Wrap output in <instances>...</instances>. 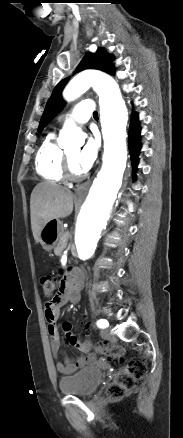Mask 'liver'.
Instances as JSON below:
<instances>
[{"label": "liver", "mask_w": 183, "mask_h": 438, "mask_svg": "<svg viewBox=\"0 0 183 438\" xmlns=\"http://www.w3.org/2000/svg\"><path fill=\"white\" fill-rule=\"evenodd\" d=\"M73 211L72 192L58 184L39 183L30 199V216L33 237L39 242L42 228L51 220L66 218Z\"/></svg>", "instance_id": "6515ba94"}]
</instances>
